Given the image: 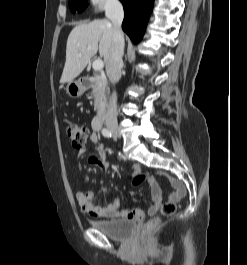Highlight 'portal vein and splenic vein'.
Wrapping results in <instances>:
<instances>
[{
    "label": "portal vein and splenic vein",
    "instance_id": "portal-vein-and-splenic-vein-1",
    "mask_svg": "<svg viewBox=\"0 0 247 265\" xmlns=\"http://www.w3.org/2000/svg\"><path fill=\"white\" fill-rule=\"evenodd\" d=\"M88 49H90V47H88ZM92 67H93V69H94L95 71H100V70L103 69V67H104V63H103V61H102L101 59H97V60H95V61L93 62Z\"/></svg>",
    "mask_w": 247,
    "mask_h": 265
}]
</instances>
